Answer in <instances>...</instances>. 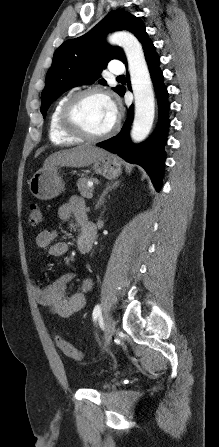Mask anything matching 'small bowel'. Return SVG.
<instances>
[{
	"label": "small bowel",
	"instance_id": "c3829d8e",
	"mask_svg": "<svg viewBox=\"0 0 219 447\" xmlns=\"http://www.w3.org/2000/svg\"><path fill=\"white\" fill-rule=\"evenodd\" d=\"M58 216L63 221L74 219L81 228L86 216L85 202L80 196H72L69 201L60 206ZM57 231L47 229L41 231L36 237L37 246L45 250V255L50 257H63L68 253L69 245L65 241H56ZM83 241L82 229L76 241V247L81 251ZM76 277V273L67 272L53 281L52 284L42 287L36 281L31 282L33 294L37 303L43 307L47 314H55L61 318H72L81 311L86 304V294L92 288L90 279L82 282L81 289L76 292H68V285Z\"/></svg>",
	"mask_w": 219,
	"mask_h": 447
}]
</instances>
